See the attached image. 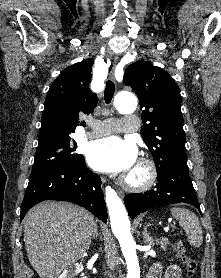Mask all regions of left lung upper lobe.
I'll return each mask as SVG.
<instances>
[{
    "label": "left lung upper lobe",
    "instance_id": "obj_1",
    "mask_svg": "<svg viewBox=\"0 0 221 278\" xmlns=\"http://www.w3.org/2000/svg\"><path fill=\"white\" fill-rule=\"evenodd\" d=\"M123 82L139 98L141 135L152 153L157 174L175 162H186L181 95L176 82L162 68L142 61L128 66Z\"/></svg>",
    "mask_w": 221,
    "mask_h": 278
}]
</instances>
